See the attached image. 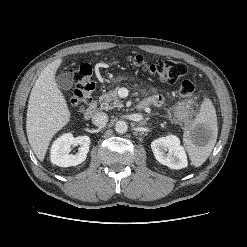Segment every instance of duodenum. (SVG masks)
Masks as SVG:
<instances>
[{"label":"duodenum","instance_id":"410a0bca","mask_svg":"<svg viewBox=\"0 0 247 247\" xmlns=\"http://www.w3.org/2000/svg\"><path fill=\"white\" fill-rule=\"evenodd\" d=\"M138 107H139V109H143L145 107V105L143 103H141ZM96 110H97L96 102L92 101L84 112V118L86 120L91 119L94 116V114L96 113Z\"/></svg>","mask_w":247,"mask_h":247}]
</instances>
